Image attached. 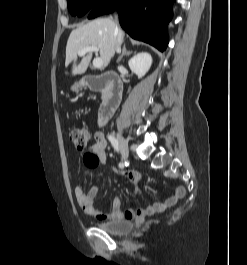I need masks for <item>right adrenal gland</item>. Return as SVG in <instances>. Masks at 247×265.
I'll return each instance as SVG.
<instances>
[{"mask_svg":"<svg viewBox=\"0 0 247 265\" xmlns=\"http://www.w3.org/2000/svg\"><path fill=\"white\" fill-rule=\"evenodd\" d=\"M133 52L132 51H128L127 49H126V46L124 45V47H123V51H122V54L120 55V57L117 59V63H119L121 60H122V58L124 57V56H129V55H131Z\"/></svg>","mask_w":247,"mask_h":265,"instance_id":"2a0ac1e0","label":"right adrenal gland"}]
</instances>
